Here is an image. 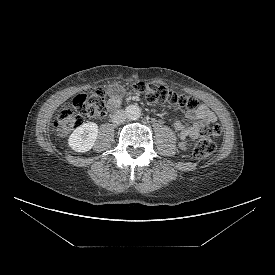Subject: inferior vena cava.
<instances>
[{
	"mask_svg": "<svg viewBox=\"0 0 275 275\" xmlns=\"http://www.w3.org/2000/svg\"><path fill=\"white\" fill-rule=\"evenodd\" d=\"M126 120V114L124 111H117L113 114L111 121L115 124H121Z\"/></svg>",
	"mask_w": 275,
	"mask_h": 275,
	"instance_id": "1",
	"label": "inferior vena cava"
}]
</instances>
